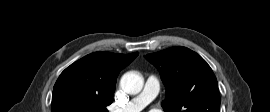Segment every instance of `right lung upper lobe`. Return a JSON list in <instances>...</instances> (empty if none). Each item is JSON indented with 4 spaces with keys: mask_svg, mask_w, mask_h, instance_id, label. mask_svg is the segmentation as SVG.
<instances>
[{
    "mask_svg": "<svg viewBox=\"0 0 270 112\" xmlns=\"http://www.w3.org/2000/svg\"><path fill=\"white\" fill-rule=\"evenodd\" d=\"M137 55L138 52L131 54L95 52L71 64L61 73L54 85L52 112H56L59 101L65 97L80 98L106 109L113 101L119 72Z\"/></svg>",
    "mask_w": 270,
    "mask_h": 112,
    "instance_id": "right-lung-upper-lobe-1",
    "label": "right lung upper lobe"
}]
</instances>
